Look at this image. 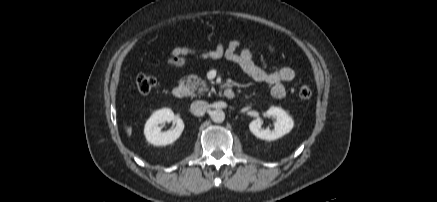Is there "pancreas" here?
<instances>
[{
	"mask_svg": "<svg viewBox=\"0 0 437 202\" xmlns=\"http://www.w3.org/2000/svg\"><path fill=\"white\" fill-rule=\"evenodd\" d=\"M181 83H186V87L189 89V94L191 96H196L197 94H203L208 91L206 82L197 75H188L186 78L181 80ZM198 91L197 94L195 91Z\"/></svg>",
	"mask_w": 437,
	"mask_h": 202,
	"instance_id": "obj_1",
	"label": "pancreas"
}]
</instances>
